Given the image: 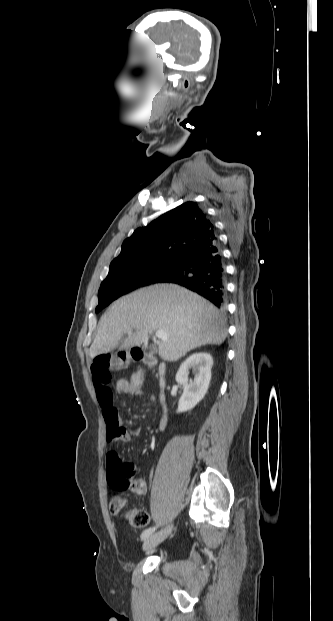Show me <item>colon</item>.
I'll return each mask as SVG.
<instances>
[{"label": "colon", "mask_w": 333, "mask_h": 621, "mask_svg": "<svg viewBox=\"0 0 333 621\" xmlns=\"http://www.w3.org/2000/svg\"><path fill=\"white\" fill-rule=\"evenodd\" d=\"M143 381V371H138L129 380H126V386L131 396H135L142 388ZM108 480L110 486L115 491L123 492L129 490L132 487L131 469L128 467L114 468L108 471ZM124 506L125 500L120 497H116L110 502L109 509L112 514L116 515L123 509ZM126 518L128 519L129 524L136 528L145 527L150 521L148 513L141 509H132L128 511Z\"/></svg>", "instance_id": "colon-1"}]
</instances>
